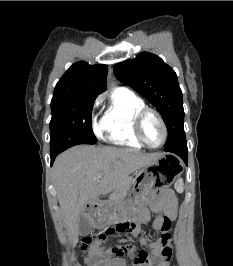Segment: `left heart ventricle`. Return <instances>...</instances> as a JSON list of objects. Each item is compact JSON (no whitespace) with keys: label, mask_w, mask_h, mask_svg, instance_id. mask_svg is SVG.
<instances>
[{"label":"left heart ventricle","mask_w":233,"mask_h":266,"mask_svg":"<svg viewBox=\"0 0 233 266\" xmlns=\"http://www.w3.org/2000/svg\"><path fill=\"white\" fill-rule=\"evenodd\" d=\"M143 135L146 141L151 145H158L163 138V129L158 119L149 114L143 122Z\"/></svg>","instance_id":"1"}]
</instances>
